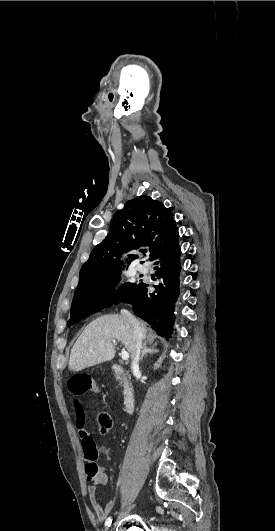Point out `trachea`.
Returning <instances> with one entry per match:
<instances>
[{"mask_svg": "<svg viewBox=\"0 0 275 531\" xmlns=\"http://www.w3.org/2000/svg\"><path fill=\"white\" fill-rule=\"evenodd\" d=\"M142 252L144 253V252H146V250H142Z\"/></svg>", "mask_w": 275, "mask_h": 531, "instance_id": "trachea-1", "label": "trachea"}]
</instances>
